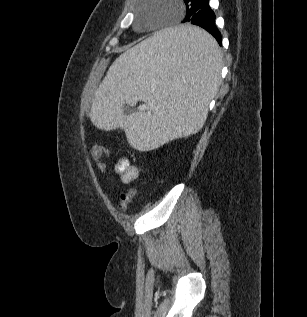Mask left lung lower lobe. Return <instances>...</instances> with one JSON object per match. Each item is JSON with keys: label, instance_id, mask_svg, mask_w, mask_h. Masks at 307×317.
<instances>
[{"label": "left lung lower lobe", "instance_id": "1", "mask_svg": "<svg viewBox=\"0 0 307 317\" xmlns=\"http://www.w3.org/2000/svg\"><path fill=\"white\" fill-rule=\"evenodd\" d=\"M215 13L209 6V0H201L195 8L192 16L184 22L198 25L208 31L221 46V33L215 25ZM169 44L175 49H186L191 51L196 56L204 59L214 57V48L198 39L188 36H173L169 40Z\"/></svg>", "mask_w": 307, "mask_h": 317}]
</instances>
